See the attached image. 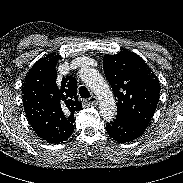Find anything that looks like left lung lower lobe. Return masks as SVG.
I'll return each mask as SVG.
<instances>
[{"mask_svg": "<svg viewBox=\"0 0 183 183\" xmlns=\"http://www.w3.org/2000/svg\"><path fill=\"white\" fill-rule=\"evenodd\" d=\"M146 127L144 123L116 117L113 122L106 125V131L116 141L126 143L138 138Z\"/></svg>", "mask_w": 183, "mask_h": 183, "instance_id": "left-lung-lower-lobe-1", "label": "left lung lower lobe"}]
</instances>
